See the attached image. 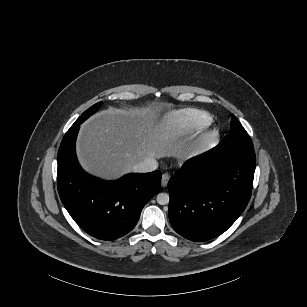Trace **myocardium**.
Listing matches in <instances>:
<instances>
[{
    "label": "myocardium",
    "instance_id": "myocardium-1",
    "mask_svg": "<svg viewBox=\"0 0 307 307\" xmlns=\"http://www.w3.org/2000/svg\"><path fill=\"white\" fill-rule=\"evenodd\" d=\"M189 142H200L199 140H193V141H189Z\"/></svg>",
    "mask_w": 307,
    "mask_h": 307
}]
</instances>
